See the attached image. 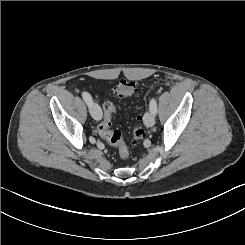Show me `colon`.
Segmentation results:
<instances>
[{
    "mask_svg": "<svg viewBox=\"0 0 245 245\" xmlns=\"http://www.w3.org/2000/svg\"><path fill=\"white\" fill-rule=\"evenodd\" d=\"M136 91V84L127 80H121L113 89L115 97L120 99L130 98ZM102 108L103 118L98 125V132L109 144L117 148L121 159H126L129 156V149L123 140L121 132L119 130H111V120L116 113V108L111 102H105ZM140 120V117L136 119L137 123L132 130V145H136L145 136Z\"/></svg>",
    "mask_w": 245,
    "mask_h": 245,
    "instance_id": "colon-1",
    "label": "colon"
}]
</instances>
